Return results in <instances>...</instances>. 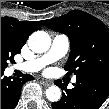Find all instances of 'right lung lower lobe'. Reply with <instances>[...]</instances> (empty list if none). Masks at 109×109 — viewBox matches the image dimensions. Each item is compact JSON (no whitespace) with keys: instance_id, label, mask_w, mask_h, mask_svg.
<instances>
[{"instance_id":"98d812e1","label":"right lung lower lobe","mask_w":109,"mask_h":109,"mask_svg":"<svg viewBox=\"0 0 109 109\" xmlns=\"http://www.w3.org/2000/svg\"><path fill=\"white\" fill-rule=\"evenodd\" d=\"M3 72H1V77ZM33 76L25 74L22 79L13 78L11 81L8 77L1 79V109H14L19 101L22 85L33 80Z\"/></svg>"}]
</instances>
